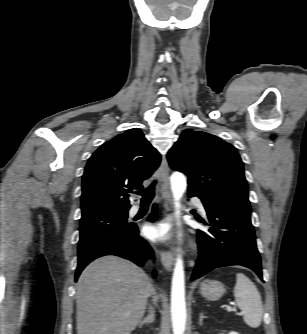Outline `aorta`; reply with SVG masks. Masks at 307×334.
<instances>
[{"instance_id":"obj_1","label":"aorta","mask_w":307,"mask_h":334,"mask_svg":"<svg viewBox=\"0 0 307 334\" xmlns=\"http://www.w3.org/2000/svg\"><path fill=\"white\" fill-rule=\"evenodd\" d=\"M186 178L175 172L171 176V190L176 216L180 215V200L186 190ZM171 322L173 334H184L186 327L185 275L181 257L176 260L171 287Z\"/></svg>"}]
</instances>
